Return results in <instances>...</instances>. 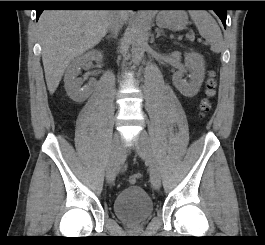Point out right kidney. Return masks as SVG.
<instances>
[{
  "label": "right kidney",
  "instance_id": "right-kidney-1",
  "mask_svg": "<svg viewBox=\"0 0 265 245\" xmlns=\"http://www.w3.org/2000/svg\"><path fill=\"white\" fill-rule=\"evenodd\" d=\"M102 59L103 55L100 51L92 50L77 56L73 61L70 62L64 76V87L68 96L72 100L76 102H83L89 97L91 93V87H81L83 82L78 78V75L81 68L88 66L90 61L100 62Z\"/></svg>",
  "mask_w": 265,
  "mask_h": 245
}]
</instances>
